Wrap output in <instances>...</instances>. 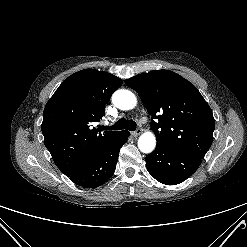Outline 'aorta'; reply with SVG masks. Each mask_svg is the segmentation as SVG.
Here are the masks:
<instances>
[{
  "mask_svg": "<svg viewBox=\"0 0 247 247\" xmlns=\"http://www.w3.org/2000/svg\"><path fill=\"white\" fill-rule=\"evenodd\" d=\"M112 102L121 110H130L136 106L137 98L131 91L121 89L114 92ZM155 146L156 138L152 132H145L138 139V148L143 153L152 152Z\"/></svg>",
  "mask_w": 247,
  "mask_h": 247,
  "instance_id": "762f6f07",
  "label": "aorta"
}]
</instances>
